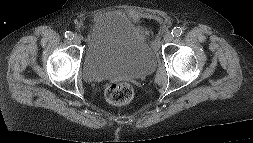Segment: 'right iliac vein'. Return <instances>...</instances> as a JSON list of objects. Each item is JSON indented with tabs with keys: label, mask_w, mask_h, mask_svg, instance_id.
Returning <instances> with one entry per match:
<instances>
[{
	"label": "right iliac vein",
	"mask_w": 253,
	"mask_h": 143,
	"mask_svg": "<svg viewBox=\"0 0 253 143\" xmlns=\"http://www.w3.org/2000/svg\"><path fill=\"white\" fill-rule=\"evenodd\" d=\"M72 42L74 44L79 45L81 43V37L79 35H74L73 38H72Z\"/></svg>",
	"instance_id": "63e3f726"
}]
</instances>
